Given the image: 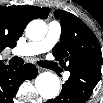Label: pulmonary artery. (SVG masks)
Instances as JSON below:
<instances>
[{"label": "pulmonary artery", "instance_id": "e3ab8cb5", "mask_svg": "<svg viewBox=\"0 0 103 103\" xmlns=\"http://www.w3.org/2000/svg\"><path fill=\"white\" fill-rule=\"evenodd\" d=\"M61 36V26L57 21L50 22L46 36L35 42H28L14 50V53L19 56H33L50 51L59 41ZM70 73L65 72L64 78H69Z\"/></svg>", "mask_w": 103, "mask_h": 103}]
</instances>
